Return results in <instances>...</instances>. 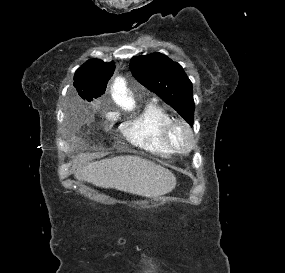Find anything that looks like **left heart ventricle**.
Instances as JSON below:
<instances>
[{
  "mask_svg": "<svg viewBox=\"0 0 285 273\" xmlns=\"http://www.w3.org/2000/svg\"><path fill=\"white\" fill-rule=\"evenodd\" d=\"M173 138L177 144H184L187 141V136L183 129L178 128L174 131Z\"/></svg>",
  "mask_w": 285,
  "mask_h": 273,
  "instance_id": "obj_1",
  "label": "left heart ventricle"
}]
</instances>
